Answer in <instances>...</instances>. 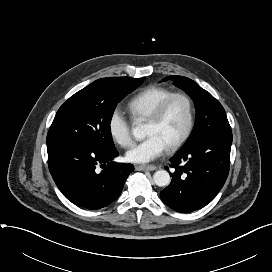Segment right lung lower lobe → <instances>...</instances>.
<instances>
[{"mask_svg": "<svg viewBox=\"0 0 272 272\" xmlns=\"http://www.w3.org/2000/svg\"><path fill=\"white\" fill-rule=\"evenodd\" d=\"M116 148L102 150L74 145L48 153L50 173L62 194L86 209H99L112 203L122 192L133 165L116 163ZM103 170L100 172L97 166Z\"/></svg>", "mask_w": 272, "mask_h": 272, "instance_id": "98d812e1", "label": "right lung lower lobe"}]
</instances>
